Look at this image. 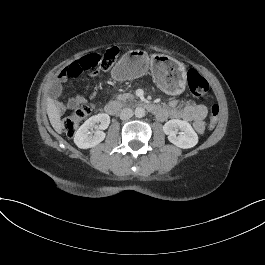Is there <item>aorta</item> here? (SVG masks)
<instances>
[{
	"label": "aorta",
	"instance_id": "aorta-1",
	"mask_svg": "<svg viewBox=\"0 0 265 265\" xmlns=\"http://www.w3.org/2000/svg\"><path fill=\"white\" fill-rule=\"evenodd\" d=\"M134 113L137 118H142L145 116V109L143 107H137Z\"/></svg>",
	"mask_w": 265,
	"mask_h": 265
}]
</instances>
